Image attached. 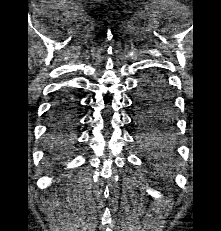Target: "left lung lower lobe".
<instances>
[{
  "mask_svg": "<svg viewBox=\"0 0 221 231\" xmlns=\"http://www.w3.org/2000/svg\"><path fill=\"white\" fill-rule=\"evenodd\" d=\"M158 87H163L168 92L169 96L171 97V94H170L168 88L165 87L161 81H159L157 78L152 76V74H149L142 79V81L140 82V91L139 92H141L142 88L152 90V89H156ZM171 100H172V98H171ZM159 102L160 101L158 99L152 98L149 101V105L150 106H156L159 104ZM171 123H172V121H169L168 126H171ZM144 143L151 150V152H154L157 154H168V153H170V151L172 149V143L168 139V136L165 135L164 133H158V134L154 135L153 137L148 138L146 141H144Z\"/></svg>",
  "mask_w": 221,
  "mask_h": 231,
  "instance_id": "left-lung-lower-lobe-1",
  "label": "left lung lower lobe"
}]
</instances>
